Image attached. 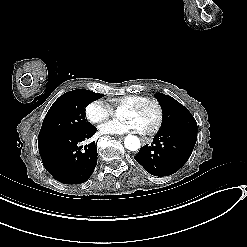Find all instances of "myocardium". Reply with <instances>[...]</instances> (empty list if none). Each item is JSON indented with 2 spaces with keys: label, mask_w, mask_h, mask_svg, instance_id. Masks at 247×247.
<instances>
[{
  "label": "myocardium",
  "mask_w": 247,
  "mask_h": 247,
  "mask_svg": "<svg viewBox=\"0 0 247 247\" xmlns=\"http://www.w3.org/2000/svg\"><path fill=\"white\" fill-rule=\"evenodd\" d=\"M147 103H153L156 105L157 107V121L155 126L149 130L146 134L148 135H155L157 134L162 125H163V121H164V107L162 102L156 98V97H142L141 99L137 100L136 102L126 105L127 108L132 109V110H140L145 104Z\"/></svg>",
  "instance_id": "myocardium-1"
}]
</instances>
